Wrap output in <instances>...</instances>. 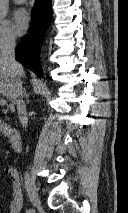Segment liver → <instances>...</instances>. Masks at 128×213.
<instances>
[{
    "label": "liver",
    "instance_id": "obj_1",
    "mask_svg": "<svg viewBox=\"0 0 128 213\" xmlns=\"http://www.w3.org/2000/svg\"><path fill=\"white\" fill-rule=\"evenodd\" d=\"M13 83L14 78L10 74L9 67L2 60V58H0V93L6 96L9 100H12L11 90L13 87Z\"/></svg>",
    "mask_w": 128,
    "mask_h": 213
}]
</instances>
